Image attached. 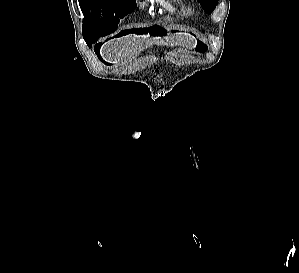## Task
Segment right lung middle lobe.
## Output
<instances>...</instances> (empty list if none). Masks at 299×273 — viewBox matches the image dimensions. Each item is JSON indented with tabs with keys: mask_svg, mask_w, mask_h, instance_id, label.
I'll use <instances>...</instances> for the list:
<instances>
[{
	"mask_svg": "<svg viewBox=\"0 0 299 273\" xmlns=\"http://www.w3.org/2000/svg\"><path fill=\"white\" fill-rule=\"evenodd\" d=\"M79 4L84 15V38L114 32L120 20L136 9L135 0H79Z\"/></svg>",
	"mask_w": 299,
	"mask_h": 273,
	"instance_id": "right-lung-middle-lobe-1",
	"label": "right lung middle lobe"
}]
</instances>
